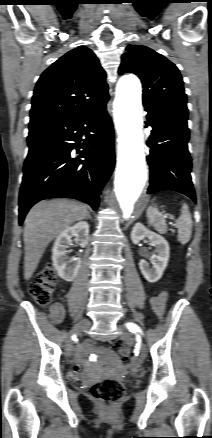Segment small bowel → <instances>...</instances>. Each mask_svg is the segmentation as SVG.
Returning a JSON list of instances; mask_svg holds the SVG:
<instances>
[{"label": "small bowel", "instance_id": "small-bowel-1", "mask_svg": "<svg viewBox=\"0 0 212 438\" xmlns=\"http://www.w3.org/2000/svg\"><path fill=\"white\" fill-rule=\"evenodd\" d=\"M168 294L166 292L159 293L151 298V306L159 318H162L166 309V303ZM65 314V310L62 304L55 303L50 310V319L53 323H59L62 321ZM85 348L82 349L81 359L84 357Z\"/></svg>", "mask_w": 212, "mask_h": 438}]
</instances>
